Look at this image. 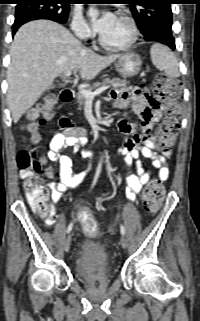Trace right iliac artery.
Instances as JSON below:
<instances>
[{
    "label": "right iliac artery",
    "instance_id": "right-iliac-artery-1",
    "mask_svg": "<svg viewBox=\"0 0 200 321\" xmlns=\"http://www.w3.org/2000/svg\"><path fill=\"white\" fill-rule=\"evenodd\" d=\"M100 172H101V165L99 164L98 167H97V169H96L95 177H94V180H93V183H92L91 188H93L94 185L96 184ZM71 230H72V223L69 224V226H68V228H67V233H69Z\"/></svg>",
    "mask_w": 200,
    "mask_h": 321
}]
</instances>
